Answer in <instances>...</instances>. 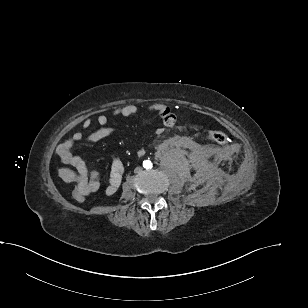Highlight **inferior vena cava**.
Masks as SVG:
<instances>
[{
	"mask_svg": "<svg viewBox=\"0 0 308 308\" xmlns=\"http://www.w3.org/2000/svg\"><path fill=\"white\" fill-rule=\"evenodd\" d=\"M140 169H141L140 167H137V168L135 169V171L138 172V171H140Z\"/></svg>",
	"mask_w": 308,
	"mask_h": 308,
	"instance_id": "obj_1",
	"label": "inferior vena cava"
}]
</instances>
